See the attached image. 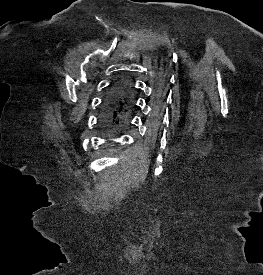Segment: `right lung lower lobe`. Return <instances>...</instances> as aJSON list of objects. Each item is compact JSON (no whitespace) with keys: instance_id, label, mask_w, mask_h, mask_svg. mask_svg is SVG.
Returning a JSON list of instances; mask_svg holds the SVG:
<instances>
[{"instance_id":"98d812e1","label":"right lung lower lobe","mask_w":263,"mask_h":275,"mask_svg":"<svg viewBox=\"0 0 263 275\" xmlns=\"http://www.w3.org/2000/svg\"><path fill=\"white\" fill-rule=\"evenodd\" d=\"M123 83H126V82L119 81L110 88L109 92L107 93L103 101V105L101 108V113H100L101 127L110 134L122 129L127 123V121L121 122V124L117 126V124H115L113 120V116H115V112L117 109V102L123 90L121 85Z\"/></svg>"}]
</instances>
